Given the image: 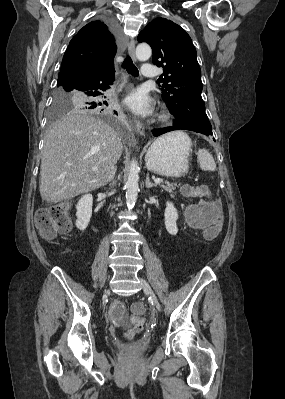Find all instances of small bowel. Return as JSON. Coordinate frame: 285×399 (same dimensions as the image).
<instances>
[{"label":"small bowel","mask_w":285,"mask_h":399,"mask_svg":"<svg viewBox=\"0 0 285 399\" xmlns=\"http://www.w3.org/2000/svg\"><path fill=\"white\" fill-rule=\"evenodd\" d=\"M216 201H208L202 208L191 207L185 217L191 228L201 230L211 226L216 220V213L209 209V206L216 205ZM124 313V305L120 301H115L109 309V319L112 324L119 327Z\"/></svg>","instance_id":"small-bowel-1"}]
</instances>
